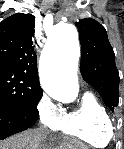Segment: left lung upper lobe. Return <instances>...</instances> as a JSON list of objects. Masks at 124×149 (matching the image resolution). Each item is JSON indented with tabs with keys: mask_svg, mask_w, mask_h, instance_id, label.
<instances>
[{
	"mask_svg": "<svg viewBox=\"0 0 124 149\" xmlns=\"http://www.w3.org/2000/svg\"><path fill=\"white\" fill-rule=\"evenodd\" d=\"M76 25L82 48V77L99 92L104 103L113 111L119 102V73L107 32L92 18L81 19Z\"/></svg>",
	"mask_w": 124,
	"mask_h": 149,
	"instance_id": "obj_1",
	"label": "left lung upper lobe"
}]
</instances>
